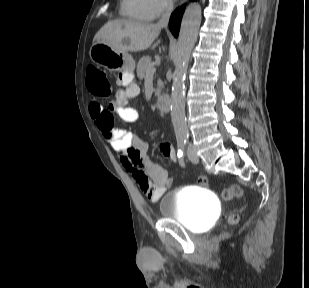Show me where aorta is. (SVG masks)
Returning a JSON list of instances; mask_svg holds the SVG:
<instances>
[{
    "mask_svg": "<svg viewBox=\"0 0 309 288\" xmlns=\"http://www.w3.org/2000/svg\"><path fill=\"white\" fill-rule=\"evenodd\" d=\"M200 24L201 6L198 3L190 4L181 21L171 92V120L177 139L185 140L188 136L185 117V79Z\"/></svg>",
    "mask_w": 309,
    "mask_h": 288,
    "instance_id": "762f6f07",
    "label": "aorta"
}]
</instances>
